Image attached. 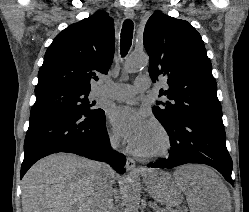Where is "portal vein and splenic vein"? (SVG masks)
I'll return each mask as SVG.
<instances>
[{"mask_svg": "<svg viewBox=\"0 0 249 212\" xmlns=\"http://www.w3.org/2000/svg\"><path fill=\"white\" fill-rule=\"evenodd\" d=\"M163 212H167V210H163ZM171 212H176V210H171Z\"/></svg>", "mask_w": 249, "mask_h": 212, "instance_id": "18ae733b", "label": "portal vein and splenic vein"}]
</instances>
